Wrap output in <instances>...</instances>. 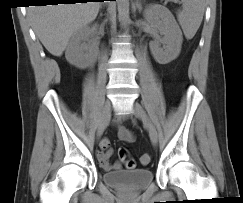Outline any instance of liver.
Returning <instances> with one entry per match:
<instances>
[{
    "label": "liver",
    "mask_w": 243,
    "mask_h": 203,
    "mask_svg": "<svg viewBox=\"0 0 243 203\" xmlns=\"http://www.w3.org/2000/svg\"><path fill=\"white\" fill-rule=\"evenodd\" d=\"M99 8V2L31 6L28 15L44 47L52 55L61 56L70 37L94 21Z\"/></svg>",
    "instance_id": "6515ba94"
}]
</instances>
